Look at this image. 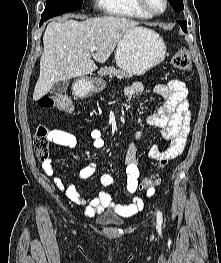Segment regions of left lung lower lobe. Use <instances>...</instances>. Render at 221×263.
Masks as SVG:
<instances>
[{
    "mask_svg": "<svg viewBox=\"0 0 221 263\" xmlns=\"http://www.w3.org/2000/svg\"><path fill=\"white\" fill-rule=\"evenodd\" d=\"M178 24L181 26L182 30L184 32H187V24H186V21H177Z\"/></svg>",
    "mask_w": 221,
    "mask_h": 263,
    "instance_id": "0a47b994",
    "label": "left lung lower lobe"
}]
</instances>
